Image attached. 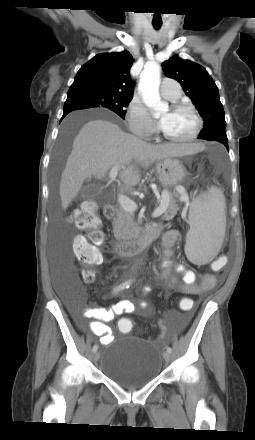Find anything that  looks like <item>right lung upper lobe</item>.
Wrapping results in <instances>:
<instances>
[{
    "mask_svg": "<svg viewBox=\"0 0 255 440\" xmlns=\"http://www.w3.org/2000/svg\"><path fill=\"white\" fill-rule=\"evenodd\" d=\"M134 59L128 51L101 53L78 71L68 95L83 92H104L133 97L129 70Z\"/></svg>",
    "mask_w": 255,
    "mask_h": 440,
    "instance_id": "1",
    "label": "right lung upper lobe"
}]
</instances>
